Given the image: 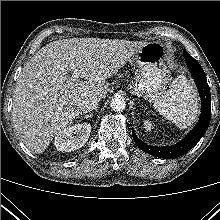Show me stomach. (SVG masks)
<instances>
[{"label":"stomach","mask_w":220,"mask_h":220,"mask_svg":"<svg viewBox=\"0 0 220 220\" xmlns=\"http://www.w3.org/2000/svg\"><path fill=\"white\" fill-rule=\"evenodd\" d=\"M132 59L138 67V72L134 80L127 85V90L150 102L164 94L170 81V72L165 65L164 45L156 41L148 42Z\"/></svg>","instance_id":"stomach-1"}]
</instances>
